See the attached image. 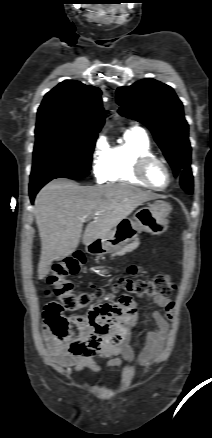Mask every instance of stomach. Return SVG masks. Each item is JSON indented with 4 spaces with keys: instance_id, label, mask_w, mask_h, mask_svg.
I'll list each match as a JSON object with an SVG mask.
<instances>
[{
    "instance_id": "1",
    "label": "stomach",
    "mask_w": 212,
    "mask_h": 438,
    "mask_svg": "<svg viewBox=\"0 0 212 438\" xmlns=\"http://www.w3.org/2000/svg\"><path fill=\"white\" fill-rule=\"evenodd\" d=\"M171 206L157 200L147 207L136 211L133 220L123 219L105 238L102 239V248L105 252L123 248L130 241L135 240L137 230H143L152 235H161L168 230V217Z\"/></svg>"
}]
</instances>
